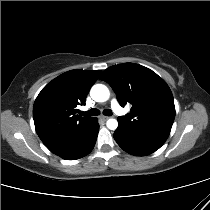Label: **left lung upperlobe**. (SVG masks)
<instances>
[{
    "mask_svg": "<svg viewBox=\"0 0 210 210\" xmlns=\"http://www.w3.org/2000/svg\"><path fill=\"white\" fill-rule=\"evenodd\" d=\"M100 79L110 84L121 106L132 105L130 113L118 117L120 128L168 138L175 106L171 90L161 77L144 66L124 63L107 68Z\"/></svg>",
    "mask_w": 210,
    "mask_h": 210,
    "instance_id": "obj_1",
    "label": "left lung upper lobe"
}]
</instances>
